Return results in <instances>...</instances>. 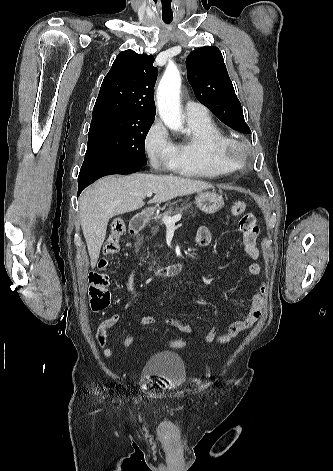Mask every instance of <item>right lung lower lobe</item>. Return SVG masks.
I'll return each mask as SVG.
<instances>
[{
    "instance_id": "obj_1",
    "label": "right lung lower lobe",
    "mask_w": 333,
    "mask_h": 471,
    "mask_svg": "<svg viewBox=\"0 0 333 471\" xmlns=\"http://www.w3.org/2000/svg\"><path fill=\"white\" fill-rule=\"evenodd\" d=\"M139 170L138 166H125L111 163L83 164L78 176V195H80L85 187L103 176L111 174H130Z\"/></svg>"
}]
</instances>
